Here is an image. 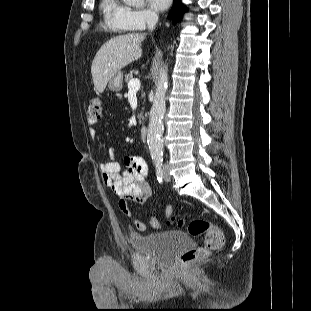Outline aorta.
I'll list each match as a JSON object with an SVG mask.
<instances>
[{
  "label": "aorta",
  "instance_id": "aorta-1",
  "mask_svg": "<svg viewBox=\"0 0 311 311\" xmlns=\"http://www.w3.org/2000/svg\"><path fill=\"white\" fill-rule=\"evenodd\" d=\"M128 5L142 6L144 0H123ZM168 88L167 67H162L156 84V91L149 115L147 129V144L153 159L163 156V117L166 111L165 95Z\"/></svg>",
  "mask_w": 311,
  "mask_h": 311
}]
</instances>
